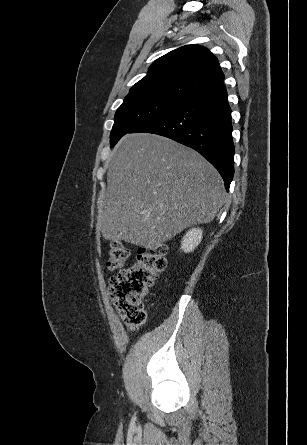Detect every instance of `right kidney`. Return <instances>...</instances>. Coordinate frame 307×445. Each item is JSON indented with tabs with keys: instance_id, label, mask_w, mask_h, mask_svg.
Instances as JSON below:
<instances>
[{
	"instance_id": "obj_1",
	"label": "right kidney",
	"mask_w": 307,
	"mask_h": 445,
	"mask_svg": "<svg viewBox=\"0 0 307 445\" xmlns=\"http://www.w3.org/2000/svg\"><path fill=\"white\" fill-rule=\"evenodd\" d=\"M202 235L203 231H201V229H191V231H188L182 241V251H184V253H191V251H194L199 243H201Z\"/></svg>"
}]
</instances>
